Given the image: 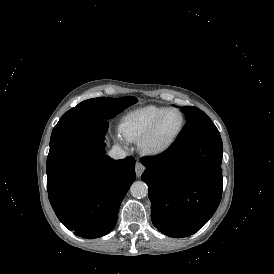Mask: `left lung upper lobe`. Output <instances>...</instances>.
Listing matches in <instances>:
<instances>
[{
	"label": "left lung upper lobe",
	"mask_w": 274,
	"mask_h": 274,
	"mask_svg": "<svg viewBox=\"0 0 274 274\" xmlns=\"http://www.w3.org/2000/svg\"><path fill=\"white\" fill-rule=\"evenodd\" d=\"M181 111L185 114L186 124L173 144L220 137L218 129L203 111L194 106L181 107Z\"/></svg>",
	"instance_id": "1"
}]
</instances>
